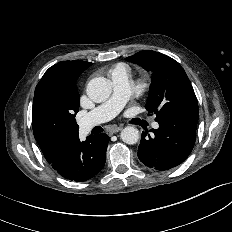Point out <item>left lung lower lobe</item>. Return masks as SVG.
<instances>
[{
    "instance_id": "1",
    "label": "left lung lower lobe",
    "mask_w": 232,
    "mask_h": 232,
    "mask_svg": "<svg viewBox=\"0 0 232 232\" xmlns=\"http://www.w3.org/2000/svg\"><path fill=\"white\" fill-rule=\"evenodd\" d=\"M158 129L142 132L138 147L140 161L158 171L180 165L191 153L196 140L198 115H168L159 120Z\"/></svg>"
}]
</instances>
